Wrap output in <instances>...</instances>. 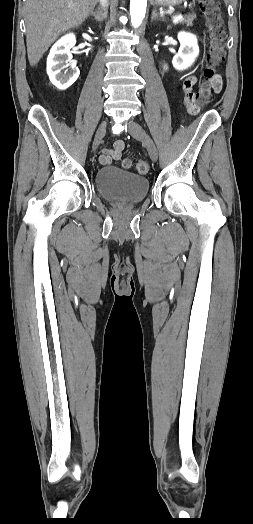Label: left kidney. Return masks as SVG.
Here are the masks:
<instances>
[{"label": "left kidney", "instance_id": "1", "mask_svg": "<svg viewBox=\"0 0 253 524\" xmlns=\"http://www.w3.org/2000/svg\"><path fill=\"white\" fill-rule=\"evenodd\" d=\"M178 40L180 48L178 53L173 57L172 64L176 70H185L189 68L199 55L197 37L187 32H179Z\"/></svg>", "mask_w": 253, "mask_h": 524}]
</instances>
